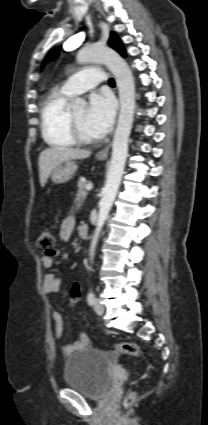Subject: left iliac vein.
I'll list each match as a JSON object with an SVG mask.
<instances>
[{
    "label": "left iliac vein",
    "instance_id": "1",
    "mask_svg": "<svg viewBox=\"0 0 208 425\" xmlns=\"http://www.w3.org/2000/svg\"><path fill=\"white\" fill-rule=\"evenodd\" d=\"M94 310L98 315L104 313V306L101 304L100 299L96 298L94 301Z\"/></svg>",
    "mask_w": 208,
    "mask_h": 425
}]
</instances>
